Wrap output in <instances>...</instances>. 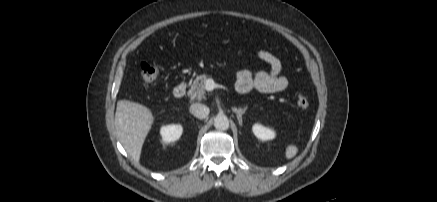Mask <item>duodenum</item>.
<instances>
[{
	"label": "duodenum",
	"instance_id": "obj_1",
	"mask_svg": "<svg viewBox=\"0 0 437 202\" xmlns=\"http://www.w3.org/2000/svg\"><path fill=\"white\" fill-rule=\"evenodd\" d=\"M187 87L185 83H179L173 88L175 98H182L186 93Z\"/></svg>",
	"mask_w": 437,
	"mask_h": 202
}]
</instances>
